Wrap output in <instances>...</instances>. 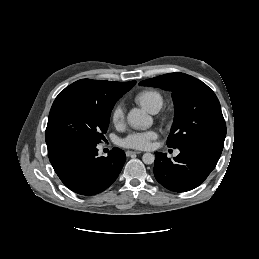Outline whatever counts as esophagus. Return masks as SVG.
<instances>
[{
  "label": "esophagus",
  "mask_w": 259,
  "mask_h": 259,
  "mask_svg": "<svg viewBox=\"0 0 259 259\" xmlns=\"http://www.w3.org/2000/svg\"><path fill=\"white\" fill-rule=\"evenodd\" d=\"M141 152H138V151H126V155L129 157V156H132V155H136V154H140Z\"/></svg>",
  "instance_id": "esophagus-1"
}]
</instances>
